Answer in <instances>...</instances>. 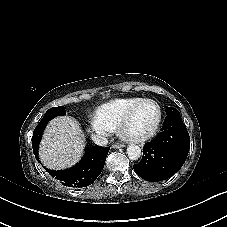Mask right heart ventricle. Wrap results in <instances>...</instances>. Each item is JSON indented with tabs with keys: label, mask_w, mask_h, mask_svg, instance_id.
<instances>
[{
	"label": "right heart ventricle",
	"mask_w": 227,
	"mask_h": 227,
	"mask_svg": "<svg viewBox=\"0 0 227 227\" xmlns=\"http://www.w3.org/2000/svg\"><path fill=\"white\" fill-rule=\"evenodd\" d=\"M141 98H118L102 104L93 115V124L113 130L125 113Z\"/></svg>",
	"instance_id": "1"
}]
</instances>
